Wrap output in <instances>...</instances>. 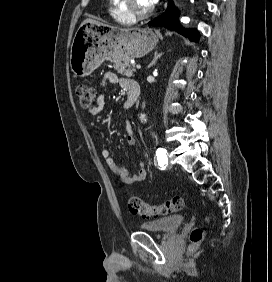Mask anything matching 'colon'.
<instances>
[{
  "mask_svg": "<svg viewBox=\"0 0 272 282\" xmlns=\"http://www.w3.org/2000/svg\"><path fill=\"white\" fill-rule=\"evenodd\" d=\"M80 105L83 108L91 107L97 98L96 88L85 84L79 85L75 90ZM128 209L131 213L140 215L145 218H155L159 216L171 215L184 206V198L182 196L173 197L159 205H150L145 203L137 196H130L127 199ZM192 249H195L203 240L204 232L200 228H196L190 235Z\"/></svg>",
  "mask_w": 272,
  "mask_h": 282,
  "instance_id": "colon-1",
  "label": "colon"
}]
</instances>
